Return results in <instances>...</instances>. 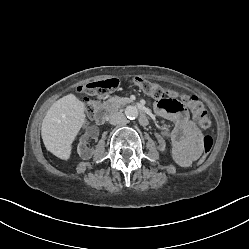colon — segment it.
I'll list each match as a JSON object with an SVG mask.
<instances>
[{"mask_svg": "<svg viewBox=\"0 0 249 249\" xmlns=\"http://www.w3.org/2000/svg\"><path fill=\"white\" fill-rule=\"evenodd\" d=\"M132 84L142 92L151 95L160 100H164L166 103L169 102L168 91L161 85L153 83L141 77H136L132 80ZM118 82L116 79H106L101 81H93L85 85H81L77 90L88 96L85 101V111L88 116L92 117L96 113L100 98L117 87ZM190 108L194 112V118L198 126L203 131H210L212 128V120L209 116L208 111L200 103L198 98L186 99ZM213 146V138L209 134L204 136L202 140V153L201 157L204 158L211 151Z\"/></svg>", "mask_w": 249, "mask_h": 249, "instance_id": "1", "label": "colon"}]
</instances>
